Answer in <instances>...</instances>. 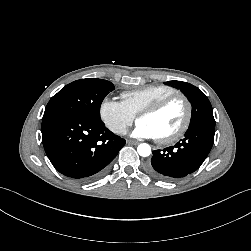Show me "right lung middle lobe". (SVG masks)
Returning a JSON list of instances; mask_svg holds the SVG:
<instances>
[{"label": "right lung middle lobe", "instance_id": "right-lung-middle-lobe-1", "mask_svg": "<svg viewBox=\"0 0 251 251\" xmlns=\"http://www.w3.org/2000/svg\"><path fill=\"white\" fill-rule=\"evenodd\" d=\"M114 89L113 83L103 79L86 78L74 81L50 99L44 116L60 113L100 119L101 103Z\"/></svg>", "mask_w": 251, "mask_h": 251}]
</instances>
